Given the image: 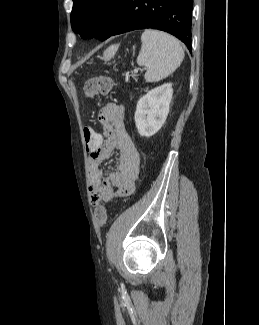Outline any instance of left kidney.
<instances>
[{"instance_id":"obj_1","label":"left kidney","mask_w":259,"mask_h":325,"mask_svg":"<svg viewBox=\"0 0 259 325\" xmlns=\"http://www.w3.org/2000/svg\"><path fill=\"white\" fill-rule=\"evenodd\" d=\"M172 95V84L167 83L150 90L139 99L135 124L141 136L151 137L160 130L168 116Z\"/></svg>"}]
</instances>
